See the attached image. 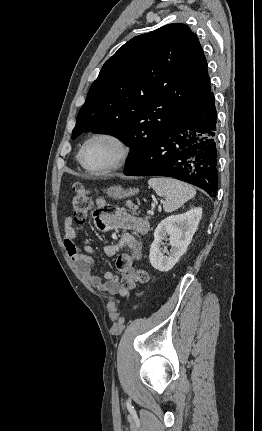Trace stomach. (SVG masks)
<instances>
[{"label":"stomach","mask_w":262,"mask_h":431,"mask_svg":"<svg viewBox=\"0 0 262 431\" xmlns=\"http://www.w3.org/2000/svg\"><path fill=\"white\" fill-rule=\"evenodd\" d=\"M138 189L129 188L124 190L121 186H111L107 189V195L113 199H122L135 195Z\"/></svg>","instance_id":"stomach-1"}]
</instances>
